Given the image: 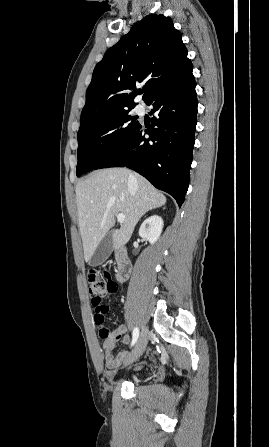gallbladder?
Wrapping results in <instances>:
<instances>
[{"mask_svg":"<svg viewBox=\"0 0 269 447\" xmlns=\"http://www.w3.org/2000/svg\"><path fill=\"white\" fill-rule=\"evenodd\" d=\"M113 231L114 229H112V231H108L105 237H103L101 243H99L98 247H96L89 261V265H101V263L109 257L114 245L112 237Z\"/></svg>","mask_w":269,"mask_h":447,"instance_id":"bac80fb5","label":"gallbladder"}]
</instances>
